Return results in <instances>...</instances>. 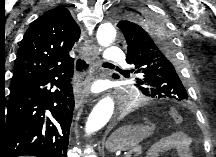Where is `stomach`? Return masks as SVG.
<instances>
[{
	"instance_id": "obj_1",
	"label": "stomach",
	"mask_w": 216,
	"mask_h": 157,
	"mask_svg": "<svg viewBox=\"0 0 216 157\" xmlns=\"http://www.w3.org/2000/svg\"><path fill=\"white\" fill-rule=\"evenodd\" d=\"M153 130V125L121 127L108 138L106 148L111 152L131 150Z\"/></svg>"
}]
</instances>
